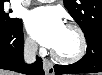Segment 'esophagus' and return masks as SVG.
I'll return each instance as SVG.
<instances>
[{
	"label": "esophagus",
	"mask_w": 102,
	"mask_h": 75,
	"mask_svg": "<svg viewBox=\"0 0 102 75\" xmlns=\"http://www.w3.org/2000/svg\"><path fill=\"white\" fill-rule=\"evenodd\" d=\"M43 68L46 75H54L53 63L47 59H43Z\"/></svg>",
	"instance_id": "obj_1"
}]
</instances>
